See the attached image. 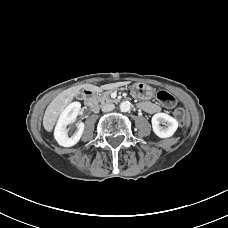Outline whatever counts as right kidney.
<instances>
[{
	"label": "right kidney",
	"mask_w": 228,
	"mask_h": 228,
	"mask_svg": "<svg viewBox=\"0 0 228 228\" xmlns=\"http://www.w3.org/2000/svg\"><path fill=\"white\" fill-rule=\"evenodd\" d=\"M80 109V102H73L61 113L54 131V137L60 146L71 147L79 142L84 131V123H77V130L71 136L67 134V126L75 122Z\"/></svg>",
	"instance_id": "obj_1"
}]
</instances>
